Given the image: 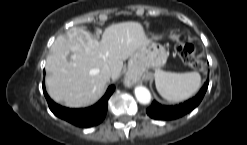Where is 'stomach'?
I'll return each instance as SVG.
<instances>
[{"label": "stomach", "mask_w": 247, "mask_h": 145, "mask_svg": "<svg viewBox=\"0 0 247 145\" xmlns=\"http://www.w3.org/2000/svg\"><path fill=\"white\" fill-rule=\"evenodd\" d=\"M168 59L165 48L157 43L149 44L136 50L128 62V71L133 75H142L151 69L164 66Z\"/></svg>", "instance_id": "stomach-1"}]
</instances>
